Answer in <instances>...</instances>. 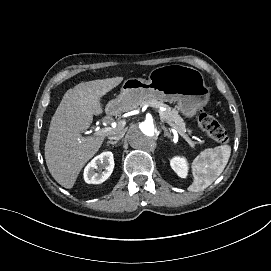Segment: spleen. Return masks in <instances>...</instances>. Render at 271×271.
Segmentation results:
<instances>
[{
  "label": "spleen",
  "mask_w": 271,
  "mask_h": 271,
  "mask_svg": "<svg viewBox=\"0 0 271 271\" xmlns=\"http://www.w3.org/2000/svg\"><path fill=\"white\" fill-rule=\"evenodd\" d=\"M230 155L231 147L222 145L197 156L192 163L194 181L188 190L198 192L210 186L223 172Z\"/></svg>",
  "instance_id": "obj_1"
}]
</instances>
